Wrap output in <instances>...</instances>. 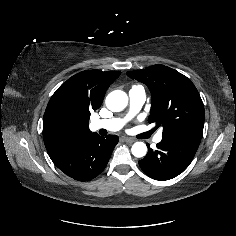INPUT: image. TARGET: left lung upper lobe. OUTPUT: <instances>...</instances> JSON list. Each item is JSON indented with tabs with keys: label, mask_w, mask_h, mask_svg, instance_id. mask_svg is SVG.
<instances>
[{
	"label": "left lung upper lobe",
	"mask_w": 236,
	"mask_h": 236,
	"mask_svg": "<svg viewBox=\"0 0 236 236\" xmlns=\"http://www.w3.org/2000/svg\"><path fill=\"white\" fill-rule=\"evenodd\" d=\"M127 75L150 89L152 105L148 122L155 123L156 128L163 126L162 138L202 137L204 106L190 79L164 65L128 71Z\"/></svg>",
	"instance_id": "1"
}]
</instances>
